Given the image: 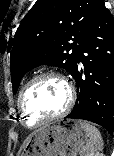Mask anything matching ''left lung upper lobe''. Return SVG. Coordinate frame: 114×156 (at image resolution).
I'll return each mask as SVG.
<instances>
[{
	"instance_id": "1",
	"label": "left lung upper lobe",
	"mask_w": 114,
	"mask_h": 156,
	"mask_svg": "<svg viewBox=\"0 0 114 156\" xmlns=\"http://www.w3.org/2000/svg\"><path fill=\"white\" fill-rule=\"evenodd\" d=\"M99 2L37 0L14 36L10 56L13 93L24 74L42 64L74 74L81 41Z\"/></svg>"
}]
</instances>
